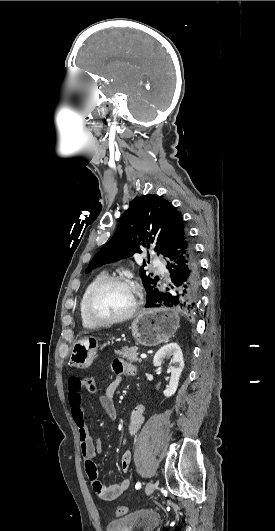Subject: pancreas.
<instances>
[{"mask_svg": "<svg viewBox=\"0 0 275 531\" xmlns=\"http://www.w3.org/2000/svg\"><path fill=\"white\" fill-rule=\"evenodd\" d=\"M138 347H121V351H114L115 355H120L122 359H127L129 363H141L138 359Z\"/></svg>", "mask_w": 275, "mask_h": 531, "instance_id": "1", "label": "pancreas"}]
</instances>
